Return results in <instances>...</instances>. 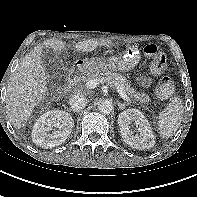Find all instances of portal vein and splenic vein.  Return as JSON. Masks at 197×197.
Returning <instances> with one entry per match:
<instances>
[{
  "mask_svg": "<svg viewBox=\"0 0 197 197\" xmlns=\"http://www.w3.org/2000/svg\"><path fill=\"white\" fill-rule=\"evenodd\" d=\"M99 84V82L95 79L93 80H89L86 83V87L88 89H94L97 87V85ZM116 86L117 92L120 94V96L122 97L123 100L130 102L131 100L129 99V97L127 96V94L124 92V90L117 84H114Z\"/></svg>",
  "mask_w": 197,
  "mask_h": 197,
  "instance_id": "18ae733b",
  "label": "portal vein and splenic vein"
}]
</instances>
